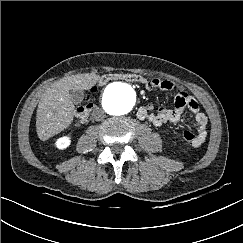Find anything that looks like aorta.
Returning a JSON list of instances; mask_svg holds the SVG:
<instances>
[{"mask_svg":"<svg viewBox=\"0 0 243 243\" xmlns=\"http://www.w3.org/2000/svg\"><path fill=\"white\" fill-rule=\"evenodd\" d=\"M132 87L125 83H112L104 91L102 104L112 115L127 114L133 107Z\"/></svg>","mask_w":243,"mask_h":243,"instance_id":"obj_1","label":"aorta"}]
</instances>
